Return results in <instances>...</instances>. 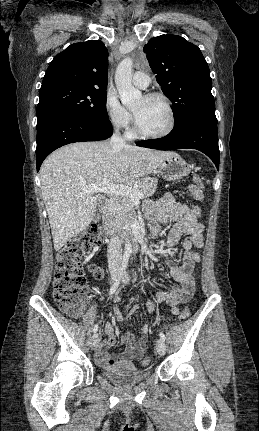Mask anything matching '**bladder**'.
<instances>
[{"label":"bladder","instance_id":"obj_1","mask_svg":"<svg viewBox=\"0 0 259 431\" xmlns=\"http://www.w3.org/2000/svg\"><path fill=\"white\" fill-rule=\"evenodd\" d=\"M102 374L118 385L129 386L148 379L152 371L149 369L139 370L132 364H117L102 369Z\"/></svg>","mask_w":259,"mask_h":431}]
</instances>
